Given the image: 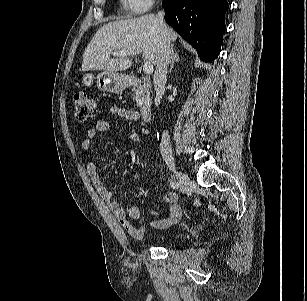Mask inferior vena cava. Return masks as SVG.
I'll list each match as a JSON object with an SVG mask.
<instances>
[{"label":"inferior vena cava","instance_id":"obj_1","mask_svg":"<svg viewBox=\"0 0 307 301\" xmlns=\"http://www.w3.org/2000/svg\"><path fill=\"white\" fill-rule=\"evenodd\" d=\"M158 18L159 20L164 23V13L158 12ZM171 59V47L170 42L166 39V37L163 38L158 61L156 64V70L154 74V87L157 95H163L165 91V84L167 81V70L168 65ZM160 151L163 156H169L172 154V147L170 143V137L168 135V131H164L161 138L160 143Z\"/></svg>","mask_w":307,"mask_h":301}]
</instances>
